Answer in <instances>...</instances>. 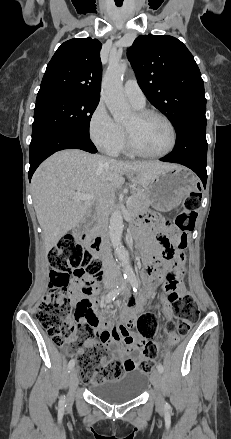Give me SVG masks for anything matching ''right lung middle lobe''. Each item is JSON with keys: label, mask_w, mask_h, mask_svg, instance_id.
<instances>
[{"label": "right lung middle lobe", "mask_w": 231, "mask_h": 439, "mask_svg": "<svg viewBox=\"0 0 231 439\" xmlns=\"http://www.w3.org/2000/svg\"><path fill=\"white\" fill-rule=\"evenodd\" d=\"M98 103V99L76 95H56L36 100L31 142L58 129H73L89 135L90 120Z\"/></svg>", "instance_id": "dd1d6c3e"}]
</instances>
